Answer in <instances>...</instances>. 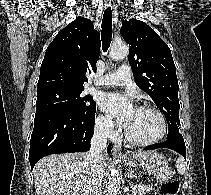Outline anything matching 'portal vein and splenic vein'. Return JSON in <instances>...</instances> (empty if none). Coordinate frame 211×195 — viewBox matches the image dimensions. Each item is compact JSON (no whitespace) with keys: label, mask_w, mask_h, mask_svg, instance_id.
I'll return each instance as SVG.
<instances>
[{"label":"portal vein and splenic vein","mask_w":211,"mask_h":195,"mask_svg":"<svg viewBox=\"0 0 211 195\" xmlns=\"http://www.w3.org/2000/svg\"><path fill=\"white\" fill-rule=\"evenodd\" d=\"M138 192V187H135L133 190H132V194L131 195H136Z\"/></svg>","instance_id":"portal-vein-and-splenic-vein-1"}]
</instances>
